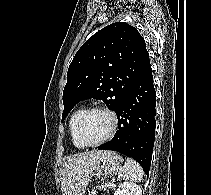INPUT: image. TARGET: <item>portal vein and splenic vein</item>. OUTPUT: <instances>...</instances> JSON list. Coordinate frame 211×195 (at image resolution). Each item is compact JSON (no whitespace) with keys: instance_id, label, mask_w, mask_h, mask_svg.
Segmentation results:
<instances>
[{"instance_id":"portal-vein-and-splenic-vein-1","label":"portal vein and splenic vein","mask_w":211,"mask_h":195,"mask_svg":"<svg viewBox=\"0 0 211 195\" xmlns=\"http://www.w3.org/2000/svg\"><path fill=\"white\" fill-rule=\"evenodd\" d=\"M110 186H111V187H114V186H115L114 182H111V183H110Z\"/></svg>"}]
</instances>
